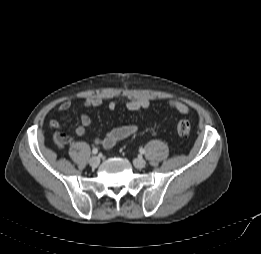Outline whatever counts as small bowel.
<instances>
[{
	"label": "small bowel",
	"mask_w": 261,
	"mask_h": 254,
	"mask_svg": "<svg viewBox=\"0 0 261 254\" xmlns=\"http://www.w3.org/2000/svg\"><path fill=\"white\" fill-rule=\"evenodd\" d=\"M103 100L98 96H90L84 99L83 106L86 108L90 107H97L102 104ZM167 106L178 111L181 114H187L189 112V107L180 101L177 100H168L166 102ZM72 106V102L69 100H66L62 102L58 109V113H65L67 112ZM151 106V103L146 98H140V99H134L129 102H127L126 107L130 111H139V110H146L149 109ZM118 107V102L116 100H111L108 103V109L110 111H115ZM91 124V118L88 114H82L80 116V125L76 128L75 133L78 136H86L87 135V128ZM50 127L57 130L56 138L60 143H67L70 141V138L67 137L62 133L63 127L57 120H51L49 122ZM139 130V127L136 125H125L113 128L109 130L105 137L100 138H94L93 142L95 144H100L104 148H111L113 147L117 142L135 134Z\"/></svg>",
	"instance_id": "small-bowel-1"
}]
</instances>
